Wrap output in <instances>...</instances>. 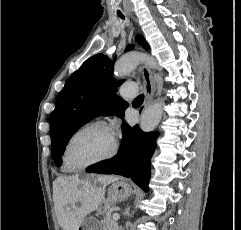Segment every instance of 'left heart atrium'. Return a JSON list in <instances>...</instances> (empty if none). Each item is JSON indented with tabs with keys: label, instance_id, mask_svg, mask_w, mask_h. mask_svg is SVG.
<instances>
[{
	"label": "left heart atrium",
	"instance_id": "1",
	"mask_svg": "<svg viewBox=\"0 0 241 230\" xmlns=\"http://www.w3.org/2000/svg\"><path fill=\"white\" fill-rule=\"evenodd\" d=\"M114 130H118V124H117V122L114 123ZM112 135H113V133H112Z\"/></svg>",
	"mask_w": 241,
	"mask_h": 230
}]
</instances>
